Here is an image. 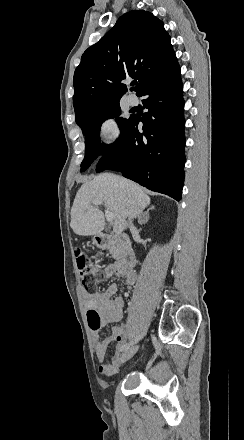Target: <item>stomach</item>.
<instances>
[{"label": "stomach", "mask_w": 244, "mask_h": 440, "mask_svg": "<svg viewBox=\"0 0 244 440\" xmlns=\"http://www.w3.org/2000/svg\"><path fill=\"white\" fill-rule=\"evenodd\" d=\"M98 238H99V236H94V238H93V244H97V246H99Z\"/></svg>", "instance_id": "obj_1"}]
</instances>
